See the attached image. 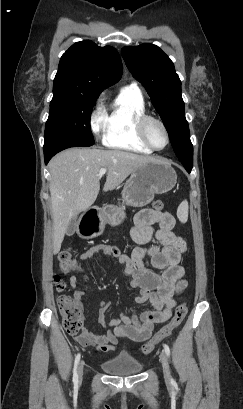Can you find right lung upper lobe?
<instances>
[{
    "instance_id": "1",
    "label": "right lung upper lobe",
    "mask_w": 243,
    "mask_h": 409,
    "mask_svg": "<svg viewBox=\"0 0 243 409\" xmlns=\"http://www.w3.org/2000/svg\"><path fill=\"white\" fill-rule=\"evenodd\" d=\"M121 76L122 62L115 48L99 47L84 40L72 45L62 55L53 87L98 96Z\"/></svg>"
}]
</instances>
